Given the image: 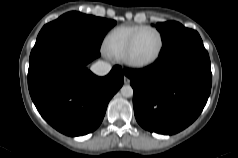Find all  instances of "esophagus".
Wrapping results in <instances>:
<instances>
[{
  "mask_svg": "<svg viewBox=\"0 0 238 158\" xmlns=\"http://www.w3.org/2000/svg\"><path fill=\"white\" fill-rule=\"evenodd\" d=\"M124 83L125 84H129L130 83V79L127 76H124Z\"/></svg>",
  "mask_w": 238,
  "mask_h": 158,
  "instance_id": "1",
  "label": "esophagus"
}]
</instances>
